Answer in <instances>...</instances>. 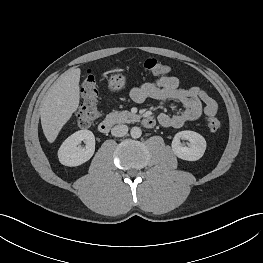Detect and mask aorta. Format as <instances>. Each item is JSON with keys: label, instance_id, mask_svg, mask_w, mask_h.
<instances>
[{"label": "aorta", "instance_id": "obj_1", "mask_svg": "<svg viewBox=\"0 0 263 263\" xmlns=\"http://www.w3.org/2000/svg\"><path fill=\"white\" fill-rule=\"evenodd\" d=\"M130 134L132 138H139L142 134V131L139 127H132Z\"/></svg>", "mask_w": 263, "mask_h": 263}]
</instances>
